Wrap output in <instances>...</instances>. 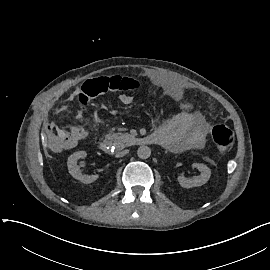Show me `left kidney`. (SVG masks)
<instances>
[{
    "mask_svg": "<svg viewBox=\"0 0 270 270\" xmlns=\"http://www.w3.org/2000/svg\"><path fill=\"white\" fill-rule=\"evenodd\" d=\"M194 166L201 172L200 175L194 176L192 179H188L183 176L178 177V182L182 188H193V187H199L210 179L211 176V170L204 164L196 163Z\"/></svg>",
    "mask_w": 270,
    "mask_h": 270,
    "instance_id": "obj_1",
    "label": "left kidney"
}]
</instances>
